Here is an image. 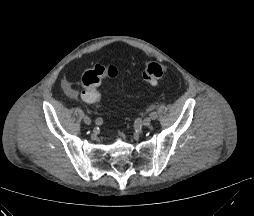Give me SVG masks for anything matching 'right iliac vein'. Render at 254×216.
<instances>
[{
    "instance_id": "1",
    "label": "right iliac vein",
    "mask_w": 254,
    "mask_h": 216,
    "mask_svg": "<svg viewBox=\"0 0 254 216\" xmlns=\"http://www.w3.org/2000/svg\"><path fill=\"white\" fill-rule=\"evenodd\" d=\"M83 122L86 124V125H91L92 124V120L87 117V116H84L83 117Z\"/></svg>"
}]
</instances>
